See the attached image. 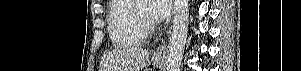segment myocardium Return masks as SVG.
<instances>
[{
  "instance_id": "f54148a6",
  "label": "myocardium",
  "mask_w": 301,
  "mask_h": 71,
  "mask_svg": "<svg viewBox=\"0 0 301 71\" xmlns=\"http://www.w3.org/2000/svg\"><path fill=\"white\" fill-rule=\"evenodd\" d=\"M132 12L139 24V26L141 27V29L145 32L148 33L151 29V21L149 19L148 16H145L143 14H141L136 6H131Z\"/></svg>"
}]
</instances>
